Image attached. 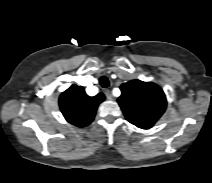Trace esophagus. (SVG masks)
<instances>
[{"label": "esophagus", "instance_id": "34e87169", "mask_svg": "<svg viewBox=\"0 0 212 183\" xmlns=\"http://www.w3.org/2000/svg\"><path fill=\"white\" fill-rule=\"evenodd\" d=\"M104 93H105L106 98L108 100H113L114 99L110 90L107 89V90L104 91Z\"/></svg>", "mask_w": 212, "mask_h": 183}]
</instances>
